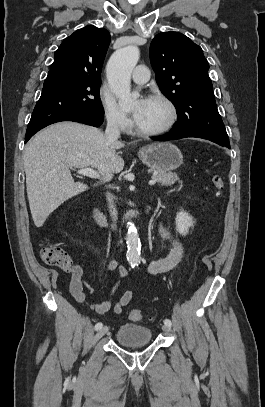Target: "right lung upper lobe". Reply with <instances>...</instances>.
Wrapping results in <instances>:
<instances>
[{
	"instance_id": "cb5924a9",
	"label": "right lung upper lobe",
	"mask_w": 265,
	"mask_h": 407,
	"mask_svg": "<svg viewBox=\"0 0 265 407\" xmlns=\"http://www.w3.org/2000/svg\"><path fill=\"white\" fill-rule=\"evenodd\" d=\"M110 43L104 28L86 26L63 40L54 55L47 77L66 75L101 80L102 64Z\"/></svg>"
}]
</instances>
